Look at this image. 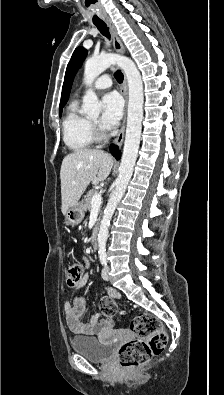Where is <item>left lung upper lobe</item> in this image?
<instances>
[{"label": "left lung upper lobe", "instance_id": "5c2ea615", "mask_svg": "<svg viewBox=\"0 0 224 395\" xmlns=\"http://www.w3.org/2000/svg\"><path fill=\"white\" fill-rule=\"evenodd\" d=\"M86 55H87V50H85L83 47H78L75 49V51L71 57V60L68 63L66 73H65L63 91H62V99H63L64 104L67 102V100L69 98V94H70L74 76H75L78 68L81 66Z\"/></svg>", "mask_w": 224, "mask_h": 395}]
</instances>
